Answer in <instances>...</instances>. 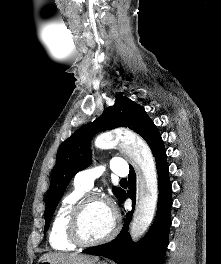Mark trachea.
<instances>
[{"label": "trachea", "mask_w": 221, "mask_h": 264, "mask_svg": "<svg viewBox=\"0 0 221 264\" xmlns=\"http://www.w3.org/2000/svg\"><path fill=\"white\" fill-rule=\"evenodd\" d=\"M120 182L121 183H125V182H127V179L126 178H123V179L120 180Z\"/></svg>", "instance_id": "obj_1"}]
</instances>
